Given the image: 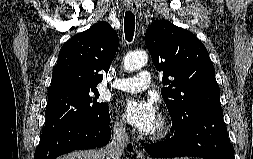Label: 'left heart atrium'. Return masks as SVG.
I'll use <instances>...</instances> for the list:
<instances>
[{"label":"left heart atrium","mask_w":253,"mask_h":159,"mask_svg":"<svg viewBox=\"0 0 253 159\" xmlns=\"http://www.w3.org/2000/svg\"><path fill=\"white\" fill-rule=\"evenodd\" d=\"M126 120L141 133L149 134L157 123L155 104L149 99L131 98L123 104Z\"/></svg>","instance_id":"39dd6f15"}]
</instances>
